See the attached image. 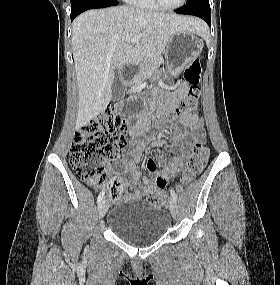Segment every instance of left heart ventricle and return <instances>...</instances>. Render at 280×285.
Instances as JSON below:
<instances>
[{"mask_svg": "<svg viewBox=\"0 0 280 285\" xmlns=\"http://www.w3.org/2000/svg\"><path fill=\"white\" fill-rule=\"evenodd\" d=\"M161 1L166 6H175V5L179 4V2L181 0H161Z\"/></svg>", "mask_w": 280, "mask_h": 285, "instance_id": "left-heart-ventricle-1", "label": "left heart ventricle"}]
</instances>
